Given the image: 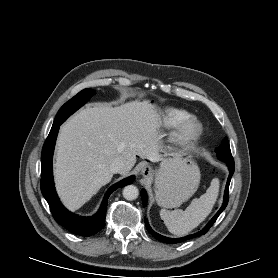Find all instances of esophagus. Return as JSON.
I'll use <instances>...</instances> for the list:
<instances>
[{"label": "esophagus", "mask_w": 278, "mask_h": 278, "mask_svg": "<svg viewBox=\"0 0 278 278\" xmlns=\"http://www.w3.org/2000/svg\"><path fill=\"white\" fill-rule=\"evenodd\" d=\"M140 174L144 177H150L153 174V169L148 165H144L140 168Z\"/></svg>", "instance_id": "esophagus-1"}]
</instances>
